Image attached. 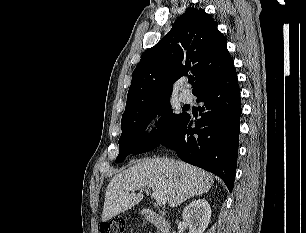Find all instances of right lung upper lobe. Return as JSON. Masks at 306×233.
Masks as SVG:
<instances>
[{
	"label": "right lung upper lobe",
	"mask_w": 306,
	"mask_h": 233,
	"mask_svg": "<svg viewBox=\"0 0 306 233\" xmlns=\"http://www.w3.org/2000/svg\"><path fill=\"white\" fill-rule=\"evenodd\" d=\"M226 45V37L209 14L187 9L168 34L142 55L132 73L123 116L169 100L174 82L188 73L196 79L195 96L225 78L235 70Z\"/></svg>",
	"instance_id": "cb5924a9"
}]
</instances>
